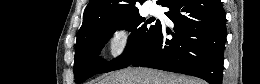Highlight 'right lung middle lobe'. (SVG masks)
<instances>
[{"mask_svg":"<svg viewBox=\"0 0 260 84\" xmlns=\"http://www.w3.org/2000/svg\"><path fill=\"white\" fill-rule=\"evenodd\" d=\"M139 12L127 15L119 20H107L94 23L76 42L74 75L77 83H82L95 74L118 70L131 65L144 54L153 43L161 26L159 21L149 25ZM131 31L124 53L107 63L98 57L101 49L117 29Z\"/></svg>","mask_w":260,"mask_h":84,"instance_id":"dd1d6c3e","label":"right lung middle lobe"}]
</instances>
